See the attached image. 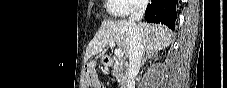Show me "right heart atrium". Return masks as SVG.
Masks as SVG:
<instances>
[{"mask_svg":"<svg viewBox=\"0 0 227 88\" xmlns=\"http://www.w3.org/2000/svg\"><path fill=\"white\" fill-rule=\"evenodd\" d=\"M124 2L126 5L125 15H132L146 5V0H124Z\"/></svg>","mask_w":227,"mask_h":88,"instance_id":"obj_1","label":"right heart atrium"}]
</instances>
